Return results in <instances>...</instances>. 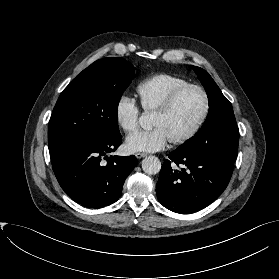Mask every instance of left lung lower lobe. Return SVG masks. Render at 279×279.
<instances>
[{
    "instance_id": "0a47b994",
    "label": "left lung lower lobe",
    "mask_w": 279,
    "mask_h": 279,
    "mask_svg": "<svg viewBox=\"0 0 279 279\" xmlns=\"http://www.w3.org/2000/svg\"><path fill=\"white\" fill-rule=\"evenodd\" d=\"M161 167L157 198L167 209L187 214L197 212L216 200L227 187L233 163L213 155H188L173 151ZM182 164L184 168L172 167Z\"/></svg>"
}]
</instances>
